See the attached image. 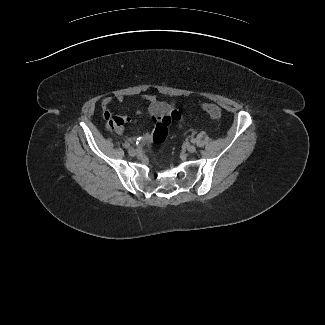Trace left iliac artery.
<instances>
[{"label":"left iliac artery","mask_w":325,"mask_h":325,"mask_svg":"<svg viewBox=\"0 0 325 325\" xmlns=\"http://www.w3.org/2000/svg\"><path fill=\"white\" fill-rule=\"evenodd\" d=\"M191 142H192V143H195V142H196V140H195L194 138H192V139H191Z\"/></svg>","instance_id":"obj_1"}]
</instances>
